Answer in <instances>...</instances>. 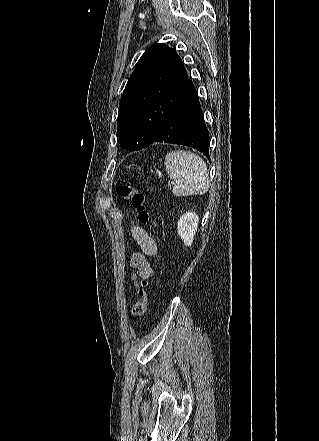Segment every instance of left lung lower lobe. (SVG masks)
I'll list each match as a JSON object with an SVG mask.
<instances>
[{"label": "left lung lower lobe", "mask_w": 319, "mask_h": 441, "mask_svg": "<svg viewBox=\"0 0 319 441\" xmlns=\"http://www.w3.org/2000/svg\"><path fill=\"white\" fill-rule=\"evenodd\" d=\"M154 142L188 146L209 158V133L193 83L156 131L151 144Z\"/></svg>", "instance_id": "0a47b994"}]
</instances>
